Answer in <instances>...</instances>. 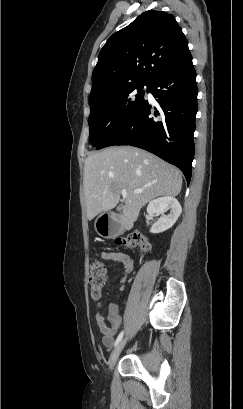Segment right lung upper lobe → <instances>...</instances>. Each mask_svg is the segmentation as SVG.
<instances>
[{
    "label": "right lung upper lobe",
    "mask_w": 243,
    "mask_h": 409,
    "mask_svg": "<svg viewBox=\"0 0 243 409\" xmlns=\"http://www.w3.org/2000/svg\"><path fill=\"white\" fill-rule=\"evenodd\" d=\"M186 48L188 42L173 15L146 11L101 49L89 103L130 84H151Z\"/></svg>",
    "instance_id": "obj_1"
}]
</instances>
